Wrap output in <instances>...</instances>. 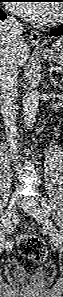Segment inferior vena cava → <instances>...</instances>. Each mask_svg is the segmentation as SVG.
Returning a JSON list of instances; mask_svg holds the SVG:
<instances>
[{
	"mask_svg": "<svg viewBox=\"0 0 63 297\" xmlns=\"http://www.w3.org/2000/svg\"><path fill=\"white\" fill-rule=\"evenodd\" d=\"M23 25L12 16H8L5 21L1 22L0 32L2 37H6L13 46L23 42L21 37ZM18 67L13 57L1 59L0 61V111L4 120L7 140L13 155H17V126H16V100L18 85Z\"/></svg>",
	"mask_w": 63,
	"mask_h": 297,
	"instance_id": "obj_1",
	"label": "inferior vena cava"
}]
</instances>
